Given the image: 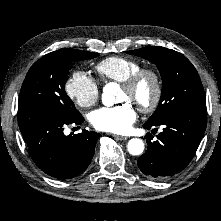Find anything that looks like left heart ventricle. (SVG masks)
Masks as SVG:
<instances>
[{
	"label": "left heart ventricle",
	"instance_id": "1",
	"mask_svg": "<svg viewBox=\"0 0 221 221\" xmlns=\"http://www.w3.org/2000/svg\"><path fill=\"white\" fill-rule=\"evenodd\" d=\"M153 96V83L148 77L144 78L133 91L121 87L119 102H129L135 106L149 103Z\"/></svg>",
	"mask_w": 221,
	"mask_h": 221
}]
</instances>
